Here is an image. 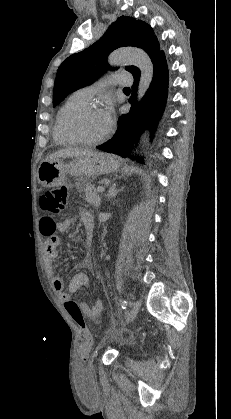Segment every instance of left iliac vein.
<instances>
[{
  "instance_id": "left-iliac-vein-1",
  "label": "left iliac vein",
  "mask_w": 231,
  "mask_h": 419,
  "mask_svg": "<svg viewBox=\"0 0 231 419\" xmlns=\"http://www.w3.org/2000/svg\"><path fill=\"white\" fill-rule=\"evenodd\" d=\"M131 305H132V307H131L130 312L126 316L125 324H128V323L132 322L137 317V314L139 312V307L140 306H139L138 302L134 301V302H132Z\"/></svg>"
}]
</instances>
